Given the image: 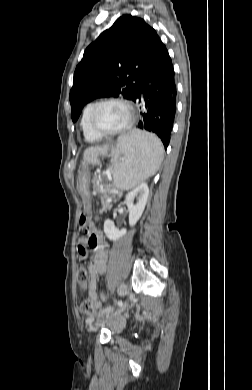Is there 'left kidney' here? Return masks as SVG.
<instances>
[{
	"label": "left kidney",
	"instance_id": "5707ae66",
	"mask_svg": "<svg viewBox=\"0 0 252 390\" xmlns=\"http://www.w3.org/2000/svg\"><path fill=\"white\" fill-rule=\"evenodd\" d=\"M148 194V185L146 183H142L125 196L124 203L129 211L130 226H134L141 217L147 202ZM134 200H136L135 203ZM104 232L108 239L116 241L126 234V229L118 230L114 222L107 219L104 222Z\"/></svg>",
	"mask_w": 252,
	"mask_h": 390
}]
</instances>
